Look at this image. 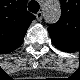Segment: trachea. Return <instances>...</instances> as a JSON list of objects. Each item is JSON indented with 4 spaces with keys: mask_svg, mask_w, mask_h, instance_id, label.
I'll return each mask as SVG.
<instances>
[{
    "mask_svg": "<svg viewBox=\"0 0 80 80\" xmlns=\"http://www.w3.org/2000/svg\"><path fill=\"white\" fill-rule=\"evenodd\" d=\"M40 9V5L35 0H31L28 4V10L32 13H37Z\"/></svg>",
    "mask_w": 80,
    "mask_h": 80,
    "instance_id": "trachea-1",
    "label": "trachea"
}]
</instances>
